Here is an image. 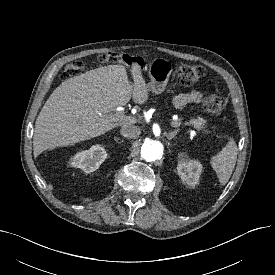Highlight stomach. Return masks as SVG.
I'll return each mask as SVG.
<instances>
[{
  "label": "stomach",
  "instance_id": "stomach-1",
  "mask_svg": "<svg viewBox=\"0 0 275 275\" xmlns=\"http://www.w3.org/2000/svg\"><path fill=\"white\" fill-rule=\"evenodd\" d=\"M171 63L164 58H155L149 65L150 82L147 84L148 90L155 93H162L169 81L172 72Z\"/></svg>",
  "mask_w": 275,
  "mask_h": 275
}]
</instances>
